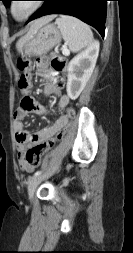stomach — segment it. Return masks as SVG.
<instances>
[{"label": "stomach", "mask_w": 133, "mask_h": 253, "mask_svg": "<svg viewBox=\"0 0 133 253\" xmlns=\"http://www.w3.org/2000/svg\"><path fill=\"white\" fill-rule=\"evenodd\" d=\"M61 42V33L54 24L42 26L33 36L20 47L25 56H38L48 53Z\"/></svg>", "instance_id": "1"}]
</instances>
